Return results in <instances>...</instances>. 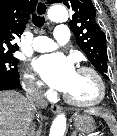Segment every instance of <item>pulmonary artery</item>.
Here are the masks:
<instances>
[{
  "label": "pulmonary artery",
  "mask_w": 117,
  "mask_h": 136,
  "mask_svg": "<svg viewBox=\"0 0 117 136\" xmlns=\"http://www.w3.org/2000/svg\"><path fill=\"white\" fill-rule=\"evenodd\" d=\"M69 41V30L65 25H58L54 31L53 38L38 36L33 41V49L37 52L52 51L58 45L66 44Z\"/></svg>",
  "instance_id": "e3ab8cb5"
}]
</instances>
